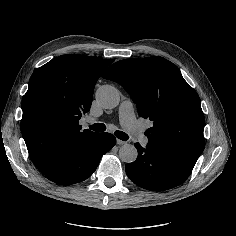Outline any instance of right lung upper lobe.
<instances>
[{"label":"right lung upper lobe","instance_id":"obj_1","mask_svg":"<svg viewBox=\"0 0 236 236\" xmlns=\"http://www.w3.org/2000/svg\"><path fill=\"white\" fill-rule=\"evenodd\" d=\"M113 59L62 55L32 74L22 100L21 132L29 155L47 172L66 148L93 133L79 119L91 107L93 89Z\"/></svg>","mask_w":236,"mask_h":236}]
</instances>
